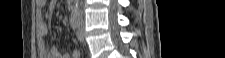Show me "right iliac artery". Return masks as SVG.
<instances>
[{
	"instance_id": "right-iliac-artery-1",
	"label": "right iliac artery",
	"mask_w": 225,
	"mask_h": 58,
	"mask_svg": "<svg viewBox=\"0 0 225 58\" xmlns=\"http://www.w3.org/2000/svg\"><path fill=\"white\" fill-rule=\"evenodd\" d=\"M70 23H71V27L73 28V30H76L78 28V18L75 14L71 18Z\"/></svg>"
}]
</instances>
